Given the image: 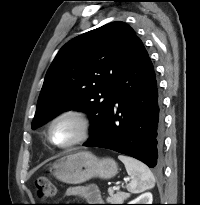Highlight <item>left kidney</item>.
<instances>
[{"mask_svg": "<svg viewBox=\"0 0 200 205\" xmlns=\"http://www.w3.org/2000/svg\"><path fill=\"white\" fill-rule=\"evenodd\" d=\"M153 196L150 192L141 194L136 199L129 202V204H152Z\"/></svg>", "mask_w": 200, "mask_h": 205, "instance_id": "5707ae66", "label": "left kidney"}]
</instances>
